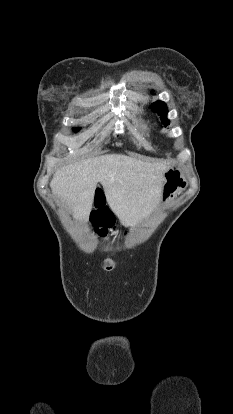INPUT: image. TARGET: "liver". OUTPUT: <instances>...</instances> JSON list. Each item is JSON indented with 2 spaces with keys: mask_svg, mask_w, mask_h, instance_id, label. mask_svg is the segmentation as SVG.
<instances>
[{
  "mask_svg": "<svg viewBox=\"0 0 233 414\" xmlns=\"http://www.w3.org/2000/svg\"><path fill=\"white\" fill-rule=\"evenodd\" d=\"M169 162L142 161L110 154L60 167L50 182L52 192L72 209L76 219H87L101 183L107 202L125 224L146 217L157 206Z\"/></svg>",
  "mask_w": 233,
  "mask_h": 414,
  "instance_id": "liver-1",
  "label": "liver"
}]
</instances>
